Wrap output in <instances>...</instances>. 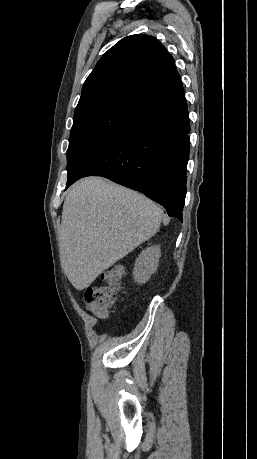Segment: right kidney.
I'll list each match as a JSON object with an SVG mask.
<instances>
[{
  "label": "right kidney",
  "instance_id": "1",
  "mask_svg": "<svg viewBox=\"0 0 257 459\" xmlns=\"http://www.w3.org/2000/svg\"><path fill=\"white\" fill-rule=\"evenodd\" d=\"M161 251L158 246H151L143 250L134 264V280L143 284L149 280L158 267Z\"/></svg>",
  "mask_w": 257,
  "mask_h": 459
}]
</instances>
